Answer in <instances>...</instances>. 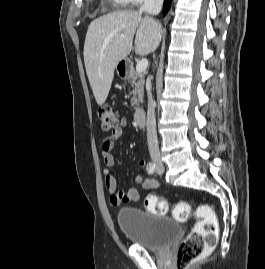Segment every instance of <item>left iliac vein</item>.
Returning <instances> with one entry per match:
<instances>
[{
    "label": "left iliac vein",
    "mask_w": 265,
    "mask_h": 269,
    "mask_svg": "<svg viewBox=\"0 0 265 269\" xmlns=\"http://www.w3.org/2000/svg\"><path fill=\"white\" fill-rule=\"evenodd\" d=\"M156 171L159 175L163 174L164 172V165L161 160L156 161Z\"/></svg>",
    "instance_id": "left-iliac-vein-1"
}]
</instances>
